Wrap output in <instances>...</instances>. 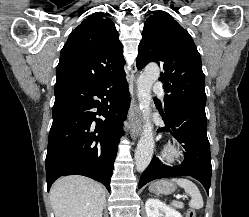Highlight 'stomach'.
Listing matches in <instances>:
<instances>
[{
  "label": "stomach",
  "mask_w": 249,
  "mask_h": 217,
  "mask_svg": "<svg viewBox=\"0 0 249 217\" xmlns=\"http://www.w3.org/2000/svg\"><path fill=\"white\" fill-rule=\"evenodd\" d=\"M176 186L169 180H159L152 183L149 187V190L156 194H171L175 191Z\"/></svg>",
  "instance_id": "1"
}]
</instances>
